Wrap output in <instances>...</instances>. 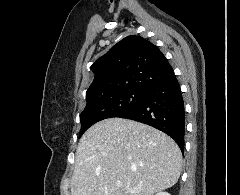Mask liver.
I'll use <instances>...</instances> for the list:
<instances>
[{
  "label": "liver",
  "instance_id": "1",
  "mask_svg": "<svg viewBox=\"0 0 240 195\" xmlns=\"http://www.w3.org/2000/svg\"><path fill=\"white\" fill-rule=\"evenodd\" d=\"M181 169V149L169 135L140 121L108 117L79 139L71 195H153L177 183Z\"/></svg>",
  "mask_w": 240,
  "mask_h": 195
}]
</instances>
